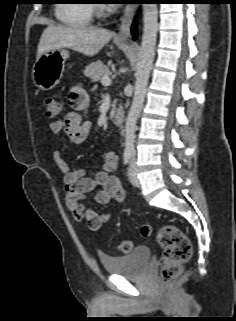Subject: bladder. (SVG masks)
<instances>
[{"label": "bladder", "instance_id": "bladder-1", "mask_svg": "<svg viewBox=\"0 0 236 321\" xmlns=\"http://www.w3.org/2000/svg\"><path fill=\"white\" fill-rule=\"evenodd\" d=\"M151 257L147 245H139L133 251L121 256H102L100 258L106 272L126 278L142 276Z\"/></svg>", "mask_w": 236, "mask_h": 321}]
</instances>
